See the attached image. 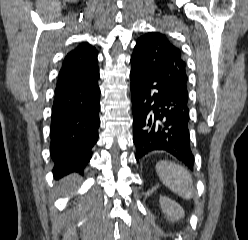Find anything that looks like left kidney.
<instances>
[{"label": "left kidney", "instance_id": "left-kidney-1", "mask_svg": "<svg viewBox=\"0 0 248 240\" xmlns=\"http://www.w3.org/2000/svg\"><path fill=\"white\" fill-rule=\"evenodd\" d=\"M159 202L162 212L166 215L169 221L175 222L184 217L182 207L175 201L168 197L162 196L160 197Z\"/></svg>", "mask_w": 248, "mask_h": 240}]
</instances>
